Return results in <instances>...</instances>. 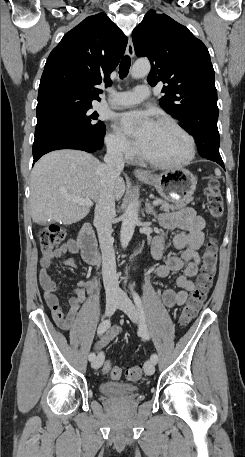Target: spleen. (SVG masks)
Instances as JSON below:
<instances>
[{"label": "spleen", "instance_id": "spleen-1", "mask_svg": "<svg viewBox=\"0 0 245 457\" xmlns=\"http://www.w3.org/2000/svg\"><path fill=\"white\" fill-rule=\"evenodd\" d=\"M215 174H217V176H220L221 170H219V168H215Z\"/></svg>", "mask_w": 245, "mask_h": 457}]
</instances>
